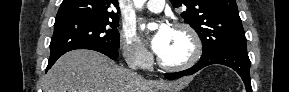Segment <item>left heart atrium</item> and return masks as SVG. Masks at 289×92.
Returning a JSON list of instances; mask_svg holds the SVG:
<instances>
[{
  "label": "left heart atrium",
  "instance_id": "obj_1",
  "mask_svg": "<svg viewBox=\"0 0 289 92\" xmlns=\"http://www.w3.org/2000/svg\"><path fill=\"white\" fill-rule=\"evenodd\" d=\"M173 29L167 23H161L158 30L150 38V45L152 50L161 56L168 47Z\"/></svg>",
  "mask_w": 289,
  "mask_h": 92
}]
</instances>
